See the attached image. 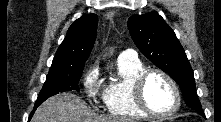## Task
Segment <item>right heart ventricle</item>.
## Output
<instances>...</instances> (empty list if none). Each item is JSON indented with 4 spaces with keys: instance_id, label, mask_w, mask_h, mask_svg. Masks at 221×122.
<instances>
[{
    "instance_id": "1",
    "label": "right heart ventricle",
    "mask_w": 221,
    "mask_h": 122,
    "mask_svg": "<svg viewBox=\"0 0 221 122\" xmlns=\"http://www.w3.org/2000/svg\"><path fill=\"white\" fill-rule=\"evenodd\" d=\"M144 70L139 60L118 58V77L111 80L104 91L105 106L111 115L135 119L148 116L138 108L132 92L134 79Z\"/></svg>"
}]
</instances>
